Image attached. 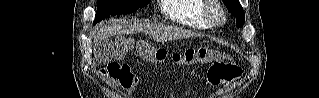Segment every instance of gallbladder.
I'll list each match as a JSON object with an SVG mask.
<instances>
[{
	"mask_svg": "<svg viewBox=\"0 0 319 98\" xmlns=\"http://www.w3.org/2000/svg\"><path fill=\"white\" fill-rule=\"evenodd\" d=\"M94 54L99 64H106L113 58L112 45L106 44V46H97Z\"/></svg>",
	"mask_w": 319,
	"mask_h": 98,
	"instance_id": "1",
	"label": "gallbladder"
}]
</instances>
